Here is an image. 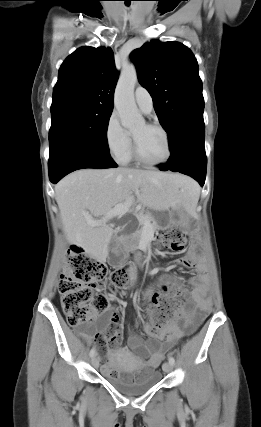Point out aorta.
I'll return each instance as SVG.
<instances>
[{
  "instance_id": "aorta-1",
  "label": "aorta",
  "mask_w": 261,
  "mask_h": 427,
  "mask_svg": "<svg viewBox=\"0 0 261 427\" xmlns=\"http://www.w3.org/2000/svg\"><path fill=\"white\" fill-rule=\"evenodd\" d=\"M136 82L137 71L135 66L124 67L121 71L114 96V104L118 111L121 124L124 128L130 130L145 124V120L139 113L134 99Z\"/></svg>"
}]
</instances>
